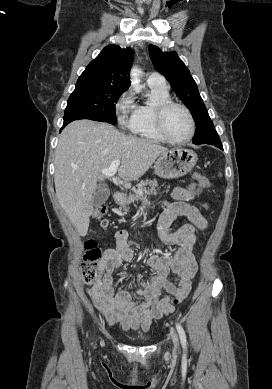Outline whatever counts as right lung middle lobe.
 Instances as JSON below:
<instances>
[{
    "instance_id": "1",
    "label": "right lung middle lobe",
    "mask_w": 272,
    "mask_h": 389,
    "mask_svg": "<svg viewBox=\"0 0 272 389\" xmlns=\"http://www.w3.org/2000/svg\"><path fill=\"white\" fill-rule=\"evenodd\" d=\"M125 91L107 86L76 84L68 99L64 118L80 117L115 125V103Z\"/></svg>"
}]
</instances>
